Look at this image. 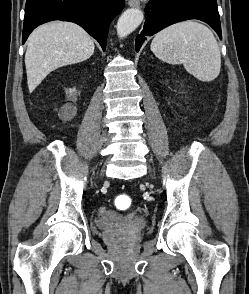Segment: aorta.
I'll return each mask as SVG.
<instances>
[{
    "label": "aorta",
    "mask_w": 249,
    "mask_h": 294,
    "mask_svg": "<svg viewBox=\"0 0 249 294\" xmlns=\"http://www.w3.org/2000/svg\"><path fill=\"white\" fill-rule=\"evenodd\" d=\"M144 15L140 9H127L118 19L117 34L120 38H125L132 33L143 21Z\"/></svg>",
    "instance_id": "obj_1"
}]
</instances>
